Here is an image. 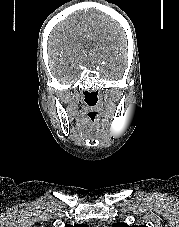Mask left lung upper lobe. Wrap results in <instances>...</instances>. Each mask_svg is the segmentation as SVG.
<instances>
[{
  "label": "left lung upper lobe",
  "mask_w": 179,
  "mask_h": 227,
  "mask_svg": "<svg viewBox=\"0 0 179 227\" xmlns=\"http://www.w3.org/2000/svg\"><path fill=\"white\" fill-rule=\"evenodd\" d=\"M112 227H147V226L146 225H141V226H137V225L128 226L125 223H114V224H112Z\"/></svg>",
  "instance_id": "5c2ea615"
}]
</instances>
